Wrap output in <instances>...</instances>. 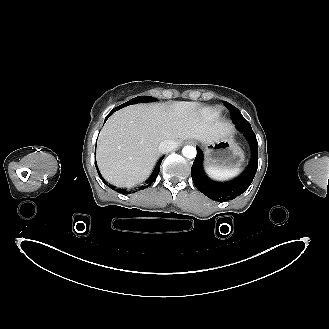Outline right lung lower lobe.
<instances>
[{
	"label": "right lung lower lobe",
	"instance_id": "98d812e1",
	"mask_svg": "<svg viewBox=\"0 0 329 329\" xmlns=\"http://www.w3.org/2000/svg\"><path fill=\"white\" fill-rule=\"evenodd\" d=\"M115 112V110H112L108 115L107 117L105 118V121L108 119L109 116H111L113 113ZM162 159L163 157L157 162L155 168H154V171L152 172L151 176L148 178V180L146 181V185H151L153 181L156 180L158 174H159V170H160V165H161V162H162ZM97 168V166H96ZM98 171V170H97ZM100 178L104 181V179L102 178V176L100 175V173L98 172ZM106 185H108L106 182H104ZM110 187L113 189H115L114 186H111ZM143 187V186H142ZM119 193H122V194H125L126 193V190H122V189H118L117 190Z\"/></svg>",
	"mask_w": 329,
	"mask_h": 329
}]
</instances>
